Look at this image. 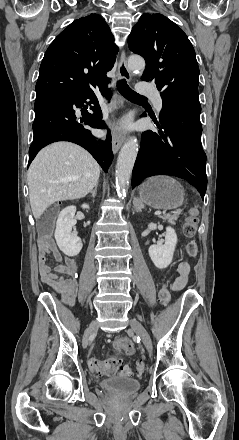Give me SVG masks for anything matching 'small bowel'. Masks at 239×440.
<instances>
[{
	"label": "small bowel",
	"mask_w": 239,
	"mask_h": 440,
	"mask_svg": "<svg viewBox=\"0 0 239 440\" xmlns=\"http://www.w3.org/2000/svg\"><path fill=\"white\" fill-rule=\"evenodd\" d=\"M51 254L57 262L54 269L48 264L47 257ZM39 265L42 281L57 291L62 300L73 305L77 294V275L78 265L71 257H65L62 263V255L53 243L40 245ZM190 264L187 260L180 262L178 266V276L172 282L174 290H180L186 286L189 281Z\"/></svg>",
	"instance_id": "1"
}]
</instances>
